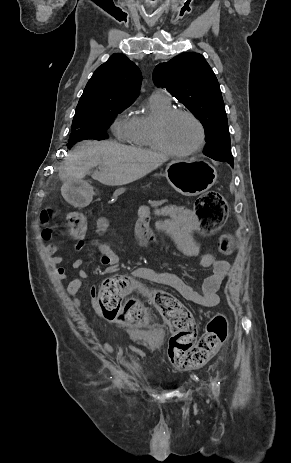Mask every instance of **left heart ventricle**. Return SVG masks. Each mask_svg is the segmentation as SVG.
Segmentation results:
<instances>
[{"mask_svg":"<svg viewBox=\"0 0 291 463\" xmlns=\"http://www.w3.org/2000/svg\"><path fill=\"white\" fill-rule=\"evenodd\" d=\"M165 142L176 151H185L194 147L199 141V129L187 116L173 118L164 128Z\"/></svg>","mask_w":291,"mask_h":463,"instance_id":"left-heart-ventricle-1","label":"left heart ventricle"}]
</instances>
